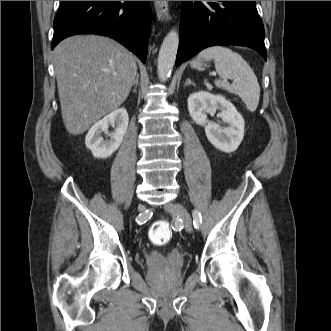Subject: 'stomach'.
Here are the masks:
<instances>
[{
  "mask_svg": "<svg viewBox=\"0 0 331 331\" xmlns=\"http://www.w3.org/2000/svg\"><path fill=\"white\" fill-rule=\"evenodd\" d=\"M203 65V62L200 59H195L191 62V67L199 69Z\"/></svg>",
  "mask_w": 331,
  "mask_h": 331,
  "instance_id": "obj_1",
  "label": "stomach"
}]
</instances>
